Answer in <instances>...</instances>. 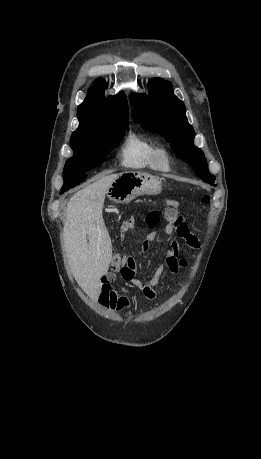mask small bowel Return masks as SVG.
Wrapping results in <instances>:
<instances>
[{
    "label": "small bowel",
    "mask_w": 261,
    "mask_h": 459,
    "mask_svg": "<svg viewBox=\"0 0 261 459\" xmlns=\"http://www.w3.org/2000/svg\"><path fill=\"white\" fill-rule=\"evenodd\" d=\"M135 218H128L121 227V232L124 234L135 227ZM183 238L187 244L193 248L199 246L198 239L193 235L186 223L182 230H178L172 222H168L165 228L166 234L170 237V249L166 252L163 264L158 266L154 274L146 280H140L135 277L136 263L132 257H124L123 266L120 270V277L127 286L137 289L148 300H154L157 296L156 288L161 275L168 270L172 274L178 273L186 266V260L180 257L179 244L172 237L173 231ZM157 232L151 231L147 234L145 240L142 242V250L145 252L149 248V244L157 239ZM116 280L114 273H107L102 277L101 289L99 292L100 304L110 310L116 312L125 311L130 304V298L125 288H113V282Z\"/></svg>",
    "instance_id": "obj_1"
}]
</instances>
